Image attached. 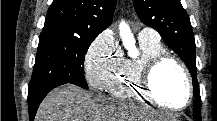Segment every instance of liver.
<instances>
[{
    "label": "liver",
    "instance_id": "1",
    "mask_svg": "<svg viewBox=\"0 0 217 121\" xmlns=\"http://www.w3.org/2000/svg\"><path fill=\"white\" fill-rule=\"evenodd\" d=\"M144 117L146 113L134 105L67 84L53 89L45 97L35 121H137ZM150 117L155 121L171 119L164 113Z\"/></svg>",
    "mask_w": 217,
    "mask_h": 121
}]
</instances>
